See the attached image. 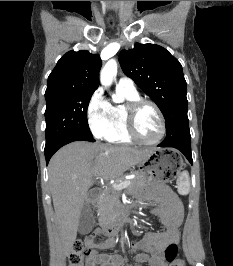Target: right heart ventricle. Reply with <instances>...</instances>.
<instances>
[{
    "label": "right heart ventricle",
    "mask_w": 233,
    "mask_h": 266,
    "mask_svg": "<svg viewBox=\"0 0 233 266\" xmlns=\"http://www.w3.org/2000/svg\"><path fill=\"white\" fill-rule=\"evenodd\" d=\"M117 92L128 102L139 97L138 92H129L117 88ZM125 104H114L111 105V117L113 121V130L106 137V139L115 144H130L132 143L131 138L128 135L126 128V119L124 112Z\"/></svg>",
    "instance_id": "obj_1"
}]
</instances>
